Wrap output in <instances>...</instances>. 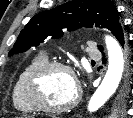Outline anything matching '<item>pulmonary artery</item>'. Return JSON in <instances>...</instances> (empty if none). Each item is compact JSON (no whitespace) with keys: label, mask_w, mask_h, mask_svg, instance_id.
I'll return each mask as SVG.
<instances>
[{"label":"pulmonary artery","mask_w":133,"mask_h":118,"mask_svg":"<svg viewBox=\"0 0 133 118\" xmlns=\"http://www.w3.org/2000/svg\"><path fill=\"white\" fill-rule=\"evenodd\" d=\"M101 54L98 50H96L95 48L91 47L89 49V57L92 59H98L100 58Z\"/></svg>","instance_id":"1"}]
</instances>
